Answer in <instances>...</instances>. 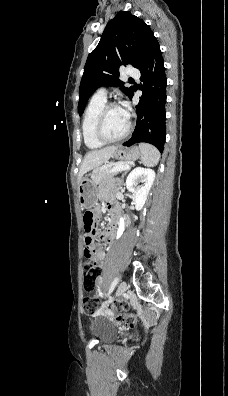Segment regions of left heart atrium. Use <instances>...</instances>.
Masks as SVG:
<instances>
[{"instance_id":"obj_1","label":"left heart atrium","mask_w":228,"mask_h":396,"mask_svg":"<svg viewBox=\"0 0 228 396\" xmlns=\"http://www.w3.org/2000/svg\"><path fill=\"white\" fill-rule=\"evenodd\" d=\"M122 110H123L125 116L128 118L129 117V112H128L127 107L125 106Z\"/></svg>"}]
</instances>
